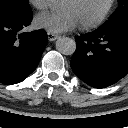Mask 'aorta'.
<instances>
[{"label": "aorta", "mask_w": 128, "mask_h": 128, "mask_svg": "<svg viewBox=\"0 0 128 128\" xmlns=\"http://www.w3.org/2000/svg\"><path fill=\"white\" fill-rule=\"evenodd\" d=\"M57 3L58 0H51ZM56 49L63 55H72L76 50V43L73 39L68 37L59 38L56 41Z\"/></svg>", "instance_id": "aorta-1"}]
</instances>
